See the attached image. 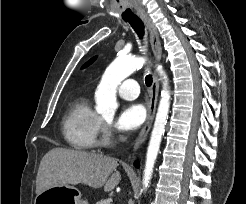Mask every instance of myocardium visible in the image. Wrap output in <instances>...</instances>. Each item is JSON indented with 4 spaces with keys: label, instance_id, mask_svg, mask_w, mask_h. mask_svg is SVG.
<instances>
[{
    "label": "myocardium",
    "instance_id": "f54148a6",
    "mask_svg": "<svg viewBox=\"0 0 246 204\" xmlns=\"http://www.w3.org/2000/svg\"><path fill=\"white\" fill-rule=\"evenodd\" d=\"M111 142L110 133L108 130V122L102 119V127L99 136V143L102 145H108Z\"/></svg>",
    "mask_w": 246,
    "mask_h": 204
}]
</instances>
